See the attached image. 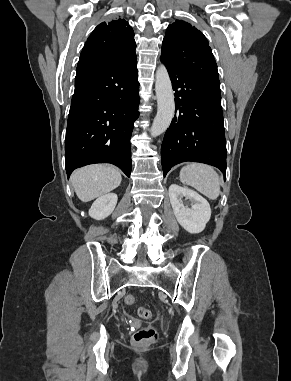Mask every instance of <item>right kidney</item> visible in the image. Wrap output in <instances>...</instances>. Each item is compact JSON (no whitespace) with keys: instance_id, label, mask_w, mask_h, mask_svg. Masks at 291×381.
<instances>
[{"instance_id":"ca27d5eb","label":"right kidney","mask_w":291,"mask_h":381,"mask_svg":"<svg viewBox=\"0 0 291 381\" xmlns=\"http://www.w3.org/2000/svg\"><path fill=\"white\" fill-rule=\"evenodd\" d=\"M118 197L114 193H108L100 196L92 204L89 210V216L96 220H103L108 217L115 209Z\"/></svg>"}]
</instances>
